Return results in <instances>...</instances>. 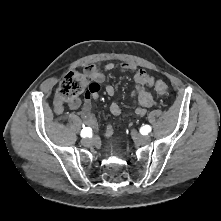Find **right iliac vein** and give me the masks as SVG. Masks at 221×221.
<instances>
[{"label": "right iliac vein", "mask_w": 221, "mask_h": 221, "mask_svg": "<svg viewBox=\"0 0 221 221\" xmlns=\"http://www.w3.org/2000/svg\"><path fill=\"white\" fill-rule=\"evenodd\" d=\"M93 143H94V140L90 138H85L82 140V144L84 146H91Z\"/></svg>", "instance_id": "obj_1"}]
</instances>
